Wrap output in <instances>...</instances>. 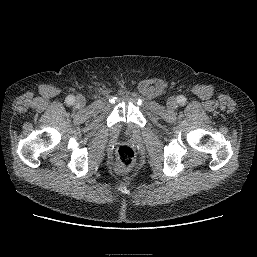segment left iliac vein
Masks as SVG:
<instances>
[{"label": "left iliac vein", "instance_id": "4c4485c4", "mask_svg": "<svg viewBox=\"0 0 257 257\" xmlns=\"http://www.w3.org/2000/svg\"><path fill=\"white\" fill-rule=\"evenodd\" d=\"M177 106H178V103H177V100L175 98L171 97L167 100L168 109L174 110V109L177 108Z\"/></svg>", "mask_w": 257, "mask_h": 257}]
</instances>
